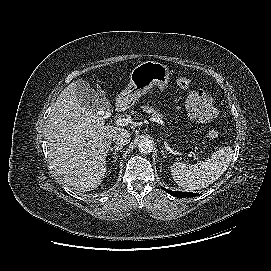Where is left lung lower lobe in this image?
Wrapping results in <instances>:
<instances>
[{"label": "left lung lower lobe", "mask_w": 271, "mask_h": 271, "mask_svg": "<svg viewBox=\"0 0 271 271\" xmlns=\"http://www.w3.org/2000/svg\"><path fill=\"white\" fill-rule=\"evenodd\" d=\"M167 193H169L170 195L174 196V197H178V198H185V197H195L198 196V194L196 193H190V192H176V191H171L168 189L163 188Z\"/></svg>", "instance_id": "1"}]
</instances>
